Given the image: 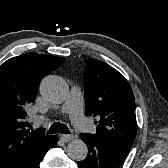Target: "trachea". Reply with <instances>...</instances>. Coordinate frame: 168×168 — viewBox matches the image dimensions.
<instances>
[{
    "mask_svg": "<svg viewBox=\"0 0 168 168\" xmlns=\"http://www.w3.org/2000/svg\"><path fill=\"white\" fill-rule=\"evenodd\" d=\"M57 132H60L62 134H70L71 133L65 124H62L60 122H56L50 126L47 134H55Z\"/></svg>",
    "mask_w": 168,
    "mask_h": 168,
    "instance_id": "trachea-1",
    "label": "trachea"
}]
</instances>
